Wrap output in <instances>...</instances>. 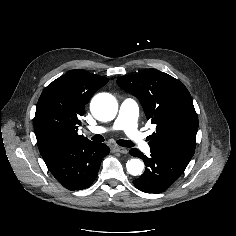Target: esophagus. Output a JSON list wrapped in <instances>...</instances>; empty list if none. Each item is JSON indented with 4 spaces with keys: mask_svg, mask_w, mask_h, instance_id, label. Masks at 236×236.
Masks as SVG:
<instances>
[{
    "mask_svg": "<svg viewBox=\"0 0 236 236\" xmlns=\"http://www.w3.org/2000/svg\"><path fill=\"white\" fill-rule=\"evenodd\" d=\"M112 150L114 152H118V153H122V154H127L128 153V150L126 148H123V147H119V146H114L112 148Z\"/></svg>",
    "mask_w": 236,
    "mask_h": 236,
    "instance_id": "34e87169",
    "label": "esophagus"
}]
</instances>
